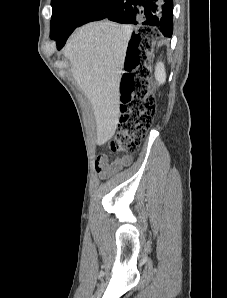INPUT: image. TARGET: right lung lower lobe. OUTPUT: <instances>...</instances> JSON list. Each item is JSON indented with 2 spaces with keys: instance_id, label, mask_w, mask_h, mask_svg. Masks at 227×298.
Listing matches in <instances>:
<instances>
[{
  "instance_id": "obj_1",
  "label": "right lung lower lobe",
  "mask_w": 227,
  "mask_h": 298,
  "mask_svg": "<svg viewBox=\"0 0 227 298\" xmlns=\"http://www.w3.org/2000/svg\"><path fill=\"white\" fill-rule=\"evenodd\" d=\"M173 0H102L82 22L109 19L118 23L156 27L165 37L173 33ZM73 31L54 35L57 48L61 49Z\"/></svg>"
}]
</instances>
